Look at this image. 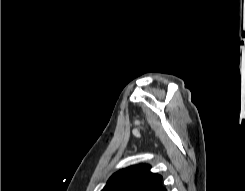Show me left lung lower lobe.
Returning <instances> with one entry per match:
<instances>
[{
    "mask_svg": "<svg viewBox=\"0 0 245 191\" xmlns=\"http://www.w3.org/2000/svg\"><path fill=\"white\" fill-rule=\"evenodd\" d=\"M161 191H167V189L164 187Z\"/></svg>",
    "mask_w": 245,
    "mask_h": 191,
    "instance_id": "0a47b994",
    "label": "left lung lower lobe"
}]
</instances>
